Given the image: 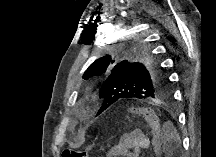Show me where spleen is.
<instances>
[{"instance_id":"3e777b00","label":"spleen","mask_w":216,"mask_h":157,"mask_svg":"<svg viewBox=\"0 0 216 157\" xmlns=\"http://www.w3.org/2000/svg\"><path fill=\"white\" fill-rule=\"evenodd\" d=\"M166 126L169 127V131H165L160 139L166 151H171L174 147L179 149L181 148V139L177 130L173 127V125L168 122Z\"/></svg>"}]
</instances>
